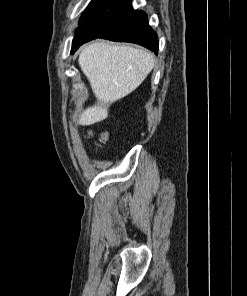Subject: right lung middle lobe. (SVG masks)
Masks as SVG:
<instances>
[{"label": "right lung middle lobe", "instance_id": "right-lung-middle-lobe-1", "mask_svg": "<svg viewBox=\"0 0 247 296\" xmlns=\"http://www.w3.org/2000/svg\"><path fill=\"white\" fill-rule=\"evenodd\" d=\"M111 0H92L87 10L82 15L79 21V27L75 31V37L73 39V46L71 52L73 53L74 48L88 35L87 26L88 24L96 19L107 7Z\"/></svg>", "mask_w": 247, "mask_h": 296}]
</instances>
